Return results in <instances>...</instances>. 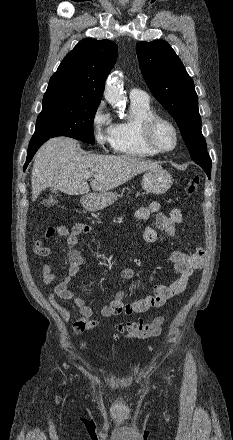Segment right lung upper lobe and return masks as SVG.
I'll return each instance as SVG.
<instances>
[{"instance_id":"obj_1","label":"right lung upper lobe","mask_w":233,"mask_h":440,"mask_svg":"<svg viewBox=\"0 0 233 440\" xmlns=\"http://www.w3.org/2000/svg\"><path fill=\"white\" fill-rule=\"evenodd\" d=\"M117 46L110 40L84 39L66 55L51 77L43 102H99L106 77L115 64Z\"/></svg>"}]
</instances>
